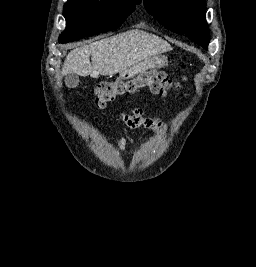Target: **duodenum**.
Segmentation results:
<instances>
[{"label": "duodenum", "instance_id": "obj_1", "mask_svg": "<svg viewBox=\"0 0 256 267\" xmlns=\"http://www.w3.org/2000/svg\"><path fill=\"white\" fill-rule=\"evenodd\" d=\"M154 71V66H125V70L122 71L121 79H134L135 73H150Z\"/></svg>", "mask_w": 256, "mask_h": 267}]
</instances>
